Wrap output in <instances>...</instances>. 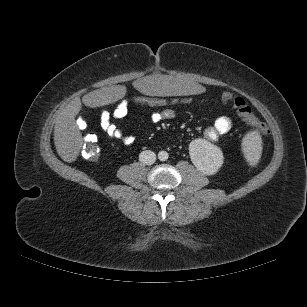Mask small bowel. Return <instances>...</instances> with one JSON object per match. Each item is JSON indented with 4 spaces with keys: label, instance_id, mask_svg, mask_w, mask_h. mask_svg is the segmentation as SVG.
<instances>
[{
    "label": "small bowel",
    "instance_id": "1",
    "mask_svg": "<svg viewBox=\"0 0 307 307\" xmlns=\"http://www.w3.org/2000/svg\"><path fill=\"white\" fill-rule=\"evenodd\" d=\"M128 112L121 109L116 112L103 110L100 116V126L106 135L110 138L117 139L125 145H131L135 141V137L131 134H126L115 120H121L127 116ZM175 117V111L171 108L153 111L150 119L154 123H159L164 120H171ZM232 127V120L227 116H220L216 119L214 125L205 130L204 136L209 141H217L220 136L228 133Z\"/></svg>",
    "mask_w": 307,
    "mask_h": 307
}]
</instances>
